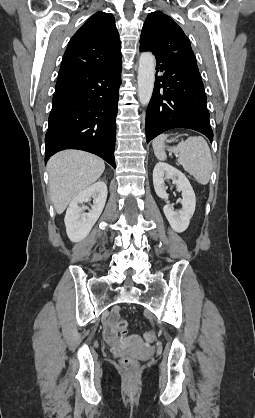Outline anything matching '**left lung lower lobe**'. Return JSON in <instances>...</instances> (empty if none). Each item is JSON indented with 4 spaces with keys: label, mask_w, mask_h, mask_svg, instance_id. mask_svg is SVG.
Returning a JSON list of instances; mask_svg holds the SVG:
<instances>
[{
    "label": "left lung lower lobe",
    "mask_w": 255,
    "mask_h": 418,
    "mask_svg": "<svg viewBox=\"0 0 255 418\" xmlns=\"http://www.w3.org/2000/svg\"><path fill=\"white\" fill-rule=\"evenodd\" d=\"M155 79L146 113L147 143L173 128L196 130L212 142L207 99L195 55L156 56Z\"/></svg>",
    "instance_id": "left-lung-lower-lobe-1"
}]
</instances>
